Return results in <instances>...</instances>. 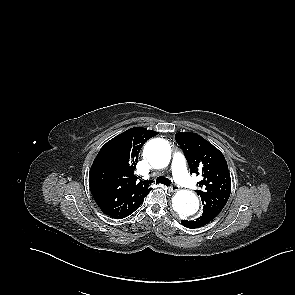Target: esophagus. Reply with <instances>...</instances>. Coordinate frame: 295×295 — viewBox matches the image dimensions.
I'll list each match as a JSON object with an SVG mask.
<instances>
[{
  "instance_id": "obj_1",
  "label": "esophagus",
  "mask_w": 295,
  "mask_h": 295,
  "mask_svg": "<svg viewBox=\"0 0 295 295\" xmlns=\"http://www.w3.org/2000/svg\"><path fill=\"white\" fill-rule=\"evenodd\" d=\"M178 190H179V189H178L177 186H170V187H168V191L171 192V193H174V192H176V191H178Z\"/></svg>"
}]
</instances>
